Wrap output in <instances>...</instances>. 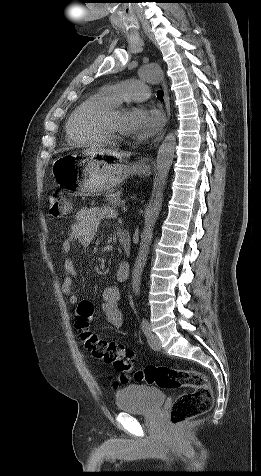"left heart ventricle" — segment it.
<instances>
[{
    "label": "left heart ventricle",
    "mask_w": 261,
    "mask_h": 476,
    "mask_svg": "<svg viewBox=\"0 0 261 476\" xmlns=\"http://www.w3.org/2000/svg\"><path fill=\"white\" fill-rule=\"evenodd\" d=\"M126 116L127 112L125 110L117 112L112 118V125L113 127L123 133L128 134L127 126H126Z\"/></svg>",
    "instance_id": "1"
}]
</instances>
